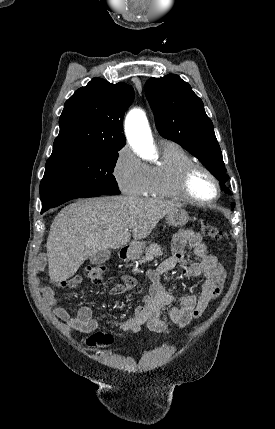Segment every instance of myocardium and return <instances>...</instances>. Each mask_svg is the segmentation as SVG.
Wrapping results in <instances>:
<instances>
[{
	"instance_id": "f54148a6",
	"label": "myocardium",
	"mask_w": 275,
	"mask_h": 429,
	"mask_svg": "<svg viewBox=\"0 0 275 429\" xmlns=\"http://www.w3.org/2000/svg\"><path fill=\"white\" fill-rule=\"evenodd\" d=\"M197 171H202L206 173L214 182L216 187V194L213 198L201 200L193 195L190 183L193 175ZM178 189L185 200L197 205H208L214 203L220 198L221 195V183L218 177L208 167L197 162L190 163L183 168L178 178Z\"/></svg>"
}]
</instances>
